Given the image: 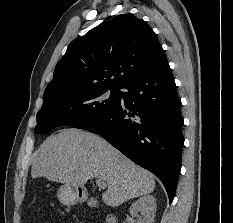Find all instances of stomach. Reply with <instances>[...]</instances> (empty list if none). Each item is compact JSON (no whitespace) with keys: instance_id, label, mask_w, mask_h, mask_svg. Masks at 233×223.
I'll list each match as a JSON object with an SVG mask.
<instances>
[{"instance_id":"obj_1","label":"stomach","mask_w":233,"mask_h":223,"mask_svg":"<svg viewBox=\"0 0 233 223\" xmlns=\"http://www.w3.org/2000/svg\"><path fill=\"white\" fill-rule=\"evenodd\" d=\"M59 201L63 205H75L80 201V197H86L87 191L83 187H73V185H61L56 193Z\"/></svg>"}]
</instances>
